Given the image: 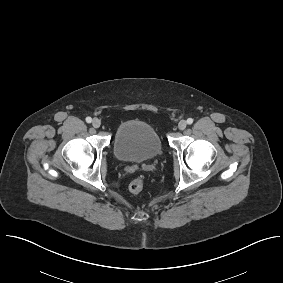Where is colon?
Here are the masks:
<instances>
[{"instance_id": "1", "label": "colon", "mask_w": 283, "mask_h": 283, "mask_svg": "<svg viewBox=\"0 0 283 283\" xmlns=\"http://www.w3.org/2000/svg\"><path fill=\"white\" fill-rule=\"evenodd\" d=\"M145 189V182L142 178H135L129 184V190L134 194H139Z\"/></svg>"}]
</instances>
